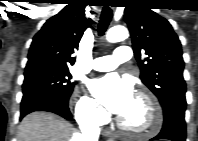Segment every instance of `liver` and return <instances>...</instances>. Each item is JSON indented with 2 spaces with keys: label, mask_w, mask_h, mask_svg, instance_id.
Here are the masks:
<instances>
[{
  "label": "liver",
  "mask_w": 198,
  "mask_h": 141,
  "mask_svg": "<svg viewBox=\"0 0 198 141\" xmlns=\"http://www.w3.org/2000/svg\"><path fill=\"white\" fill-rule=\"evenodd\" d=\"M18 141H77L74 127L61 117L47 112H34L23 118Z\"/></svg>",
  "instance_id": "obj_1"
}]
</instances>
